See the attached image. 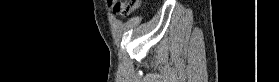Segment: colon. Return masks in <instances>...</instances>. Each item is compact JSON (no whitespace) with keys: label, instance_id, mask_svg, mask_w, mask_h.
<instances>
[{"label":"colon","instance_id":"colon-1","mask_svg":"<svg viewBox=\"0 0 279 82\" xmlns=\"http://www.w3.org/2000/svg\"><path fill=\"white\" fill-rule=\"evenodd\" d=\"M113 4H124L127 6H138L140 4V0H127V1H116V0H110Z\"/></svg>","mask_w":279,"mask_h":82}]
</instances>
